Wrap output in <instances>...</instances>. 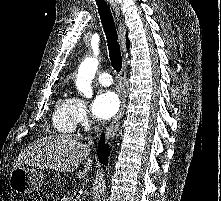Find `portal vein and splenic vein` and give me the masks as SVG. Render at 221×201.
Listing matches in <instances>:
<instances>
[{"label":"portal vein and splenic vein","mask_w":221,"mask_h":201,"mask_svg":"<svg viewBox=\"0 0 221 201\" xmlns=\"http://www.w3.org/2000/svg\"><path fill=\"white\" fill-rule=\"evenodd\" d=\"M69 201H72L73 200V197H68Z\"/></svg>","instance_id":"portal-vein-and-splenic-vein-1"}]
</instances>
